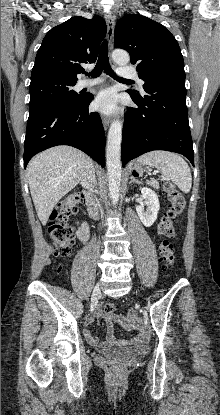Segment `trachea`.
Here are the masks:
<instances>
[{"mask_svg": "<svg viewBox=\"0 0 220 415\" xmlns=\"http://www.w3.org/2000/svg\"><path fill=\"white\" fill-rule=\"evenodd\" d=\"M102 71H104L107 75L113 77L114 79L118 81L133 82L132 80L119 78L115 75L114 71L112 70L109 64L107 40H104L103 43L101 44L100 51H99V57H98V61L96 63L95 68L90 73H86L84 71L83 73L91 77H98L102 73Z\"/></svg>", "mask_w": 220, "mask_h": 415, "instance_id": "3493384b", "label": "trachea"}]
</instances>
